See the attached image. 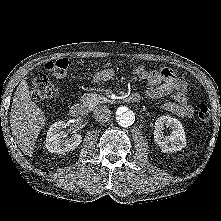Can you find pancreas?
<instances>
[{
	"label": "pancreas",
	"mask_w": 221,
	"mask_h": 221,
	"mask_svg": "<svg viewBox=\"0 0 221 221\" xmlns=\"http://www.w3.org/2000/svg\"><path fill=\"white\" fill-rule=\"evenodd\" d=\"M87 98L91 101H94V102L107 101V99L104 96H97L95 94H90V95H88Z\"/></svg>",
	"instance_id": "pancreas-1"
}]
</instances>
